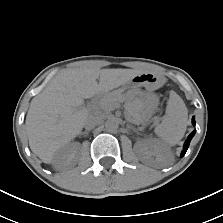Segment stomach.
Wrapping results in <instances>:
<instances>
[{
	"instance_id": "0dacf381",
	"label": "stomach",
	"mask_w": 223,
	"mask_h": 223,
	"mask_svg": "<svg viewBox=\"0 0 223 223\" xmlns=\"http://www.w3.org/2000/svg\"><path fill=\"white\" fill-rule=\"evenodd\" d=\"M164 84V78L153 72H142L141 74L135 76L131 82L121 86L120 91L126 89L137 90L140 87H144L149 93L154 90H157ZM154 106L158 103V97L151 93Z\"/></svg>"
}]
</instances>
